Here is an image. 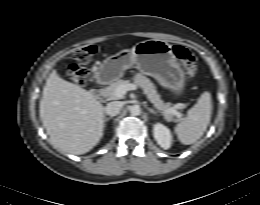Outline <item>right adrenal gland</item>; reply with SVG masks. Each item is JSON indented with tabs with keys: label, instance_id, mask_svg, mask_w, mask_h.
I'll use <instances>...</instances> for the list:
<instances>
[{
	"label": "right adrenal gland",
	"instance_id": "obj_1",
	"mask_svg": "<svg viewBox=\"0 0 260 205\" xmlns=\"http://www.w3.org/2000/svg\"><path fill=\"white\" fill-rule=\"evenodd\" d=\"M112 118H113L112 116L107 117V118L104 119V122H107V121L111 120Z\"/></svg>",
	"mask_w": 260,
	"mask_h": 205
}]
</instances>
